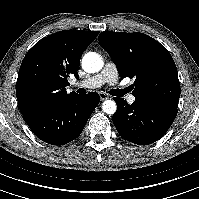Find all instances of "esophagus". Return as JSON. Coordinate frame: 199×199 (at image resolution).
<instances>
[{
	"mask_svg": "<svg viewBox=\"0 0 199 199\" xmlns=\"http://www.w3.org/2000/svg\"><path fill=\"white\" fill-rule=\"evenodd\" d=\"M99 97L101 101L107 100L109 98L108 94L105 92H99Z\"/></svg>",
	"mask_w": 199,
	"mask_h": 199,
	"instance_id": "obj_1",
	"label": "esophagus"
}]
</instances>
